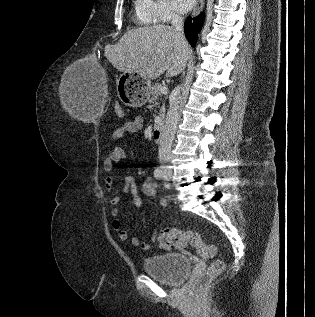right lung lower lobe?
Segmentation results:
<instances>
[{
	"instance_id": "obj_1",
	"label": "right lung lower lobe",
	"mask_w": 315,
	"mask_h": 317,
	"mask_svg": "<svg viewBox=\"0 0 315 317\" xmlns=\"http://www.w3.org/2000/svg\"><path fill=\"white\" fill-rule=\"evenodd\" d=\"M204 15L201 14L198 17L193 19L189 16L185 22V35L188 41L192 46H195L197 40V34L200 32L202 23H203Z\"/></svg>"
}]
</instances>
